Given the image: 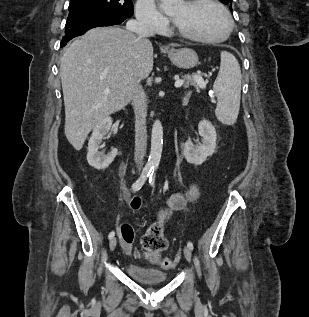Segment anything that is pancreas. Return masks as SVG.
I'll return each instance as SVG.
<instances>
[{"instance_id": "cf45deb5", "label": "pancreas", "mask_w": 309, "mask_h": 317, "mask_svg": "<svg viewBox=\"0 0 309 317\" xmlns=\"http://www.w3.org/2000/svg\"><path fill=\"white\" fill-rule=\"evenodd\" d=\"M195 75L196 74H192V75L186 74V75L182 76V78L184 80V85H183L184 88H188L189 86H194L197 91H200L201 87L194 79Z\"/></svg>"}]
</instances>
